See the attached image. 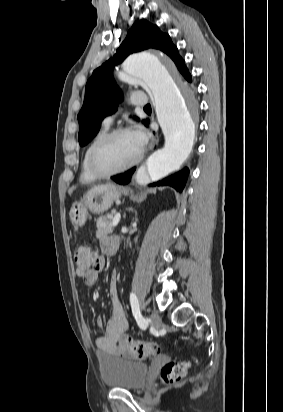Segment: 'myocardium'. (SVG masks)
Returning a JSON list of instances; mask_svg holds the SVG:
<instances>
[{
    "label": "myocardium",
    "mask_w": 283,
    "mask_h": 412,
    "mask_svg": "<svg viewBox=\"0 0 283 412\" xmlns=\"http://www.w3.org/2000/svg\"><path fill=\"white\" fill-rule=\"evenodd\" d=\"M131 132H132L131 129L128 128V127L115 128V129H112V130L108 131L107 133H105L94 144V146L92 147V149L90 151V154H89V168H90V170L92 171V173L94 174L95 177H97V178L111 177L115 174L124 172V171L134 167L135 165H137L142 160L143 155H144L143 149L140 150L139 154L137 155V157L133 161H131L127 165H124V166L119 167L117 169L104 171V170L100 169L98 164H97V159H98V156H99L100 152L112 139H114L116 136H118L120 134L131 133Z\"/></svg>",
    "instance_id": "obj_1"
}]
</instances>
